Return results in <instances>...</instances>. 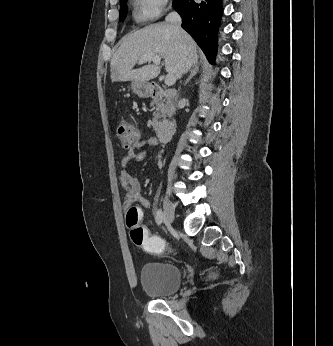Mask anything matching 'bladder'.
<instances>
[{
  "label": "bladder",
  "instance_id": "31cf9c89",
  "mask_svg": "<svg viewBox=\"0 0 333 346\" xmlns=\"http://www.w3.org/2000/svg\"><path fill=\"white\" fill-rule=\"evenodd\" d=\"M140 283L151 297L160 299L178 291L182 284L181 270L168 263H156L143 266Z\"/></svg>",
  "mask_w": 333,
  "mask_h": 346
}]
</instances>
